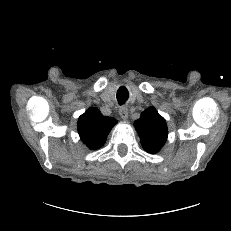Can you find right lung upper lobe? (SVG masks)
<instances>
[{"label":"right lung upper lobe","instance_id":"right-lung-upper-lobe-1","mask_svg":"<svg viewBox=\"0 0 231 231\" xmlns=\"http://www.w3.org/2000/svg\"><path fill=\"white\" fill-rule=\"evenodd\" d=\"M117 123L114 118L103 116L99 109L89 108L78 119V133L84 144L92 150L102 147Z\"/></svg>","mask_w":231,"mask_h":231}]
</instances>
